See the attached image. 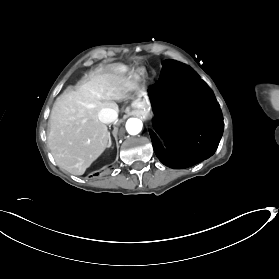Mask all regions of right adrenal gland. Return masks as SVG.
Here are the masks:
<instances>
[{
    "label": "right adrenal gland",
    "instance_id": "obj_1",
    "mask_svg": "<svg viewBox=\"0 0 279 279\" xmlns=\"http://www.w3.org/2000/svg\"><path fill=\"white\" fill-rule=\"evenodd\" d=\"M111 146V138H110V133H109V145H108V147H110Z\"/></svg>",
    "mask_w": 279,
    "mask_h": 279
}]
</instances>
